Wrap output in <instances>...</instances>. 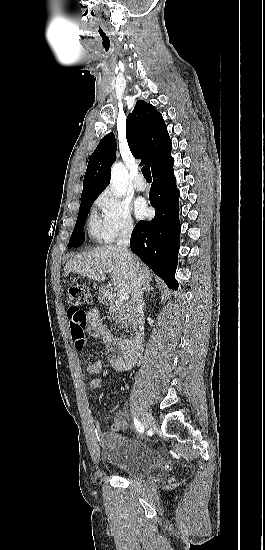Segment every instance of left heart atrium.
Returning <instances> with one entry per match:
<instances>
[{
	"instance_id": "39dd6f15",
	"label": "left heart atrium",
	"mask_w": 265,
	"mask_h": 550,
	"mask_svg": "<svg viewBox=\"0 0 265 550\" xmlns=\"http://www.w3.org/2000/svg\"><path fill=\"white\" fill-rule=\"evenodd\" d=\"M148 213V208L146 203L143 200H139L135 204V214L138 218L146 216Z\"/></svg>"
}]
</instances>
